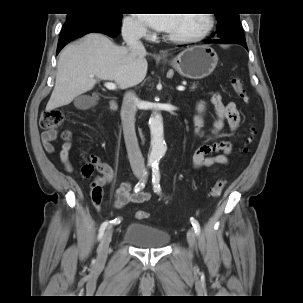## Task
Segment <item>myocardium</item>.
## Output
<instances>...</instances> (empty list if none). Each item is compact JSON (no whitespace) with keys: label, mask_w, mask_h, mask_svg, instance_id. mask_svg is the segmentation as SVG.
<instances>
[{"label":"myocardium","mask_w":303,"mask_h":303,"mask_svg":"<svg viewBox=\"0 0 303 303\" xmlns=\"http://www.w3.org/2000/svg\"><path fill=\"white\" fill-rule=\"evenodd\" d=\"M206 16V26L204 27V29H202L201 31H199L198 33L195 34H190V35H174V34H170L167 33L166 37L173 41V42H178V43H188V42H195L198 40H201L202 38H204L205 36H207L211 30L214 27V16L210 13L208 14H204Z\"/></svg>","instance_id":"myocardium-1"}]
</instances>
